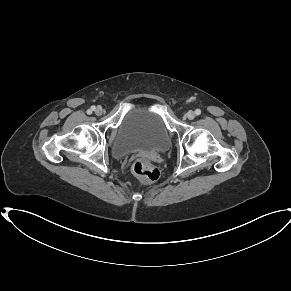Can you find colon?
Returning <instances> with one entry per match:
<instances>
[{"mask_svg":"<svg viewBox=\"0 0 291 291\" xmlns=\"http://www.w3.org/2000/svg\"><path fill=\"white\" fill-rule=\"evenodd\" d=\"M133 172L144 182H155L159 178V170L148 162L137 160L133 164Z\"/></svg>","mask_w":291,"mask_h":291,"instance_id":"colon-1","label":"colon"}]
</instances>
